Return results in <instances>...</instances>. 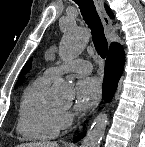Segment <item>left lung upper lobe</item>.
Here are the masks:
<instances>
[{
	"label": "left lung upper lobe",
	"instance_id": "5c2ea615",
	"mask_svg": "<svg viewBox=\"0 0 145 147\" xmlns=\"http://www.w3.org/2000/svg\"><path fill=\"white\" fill-rule=\"evenodd\" d=\"M29 66H30V63L27 62L26 65L24 66V68H23L20 76H22L27 71V69H28ZM17 84H19V83H17Z\"/></svg>",
	"mask_w": 145,
	"mask_h": 147
}]
</instances>
